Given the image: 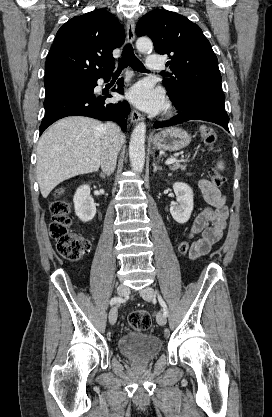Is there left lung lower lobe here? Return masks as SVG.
Returning <instances> with one entry per match:
<instances>
[{
    "label": "left lung lower lobe",
    "instance_id": "0a47b994",
    "mask_svg": "<svg viewBox=\"0 0 272 417\" xmlns=\"http://www.w3.org/2000/svg\"><path fill=\"white\" fill-rule=\"evenodd\" d=\"M170 100L172 99L170 98ZM172 102L173 105L181 112L171 120L155 122L153 126L156 129L176 125L189 120H204L221 125L227 131H229V117L225 109L201 101L190 95L183 96L180 101L172 100Z\"/></svg>",
    "mask_w": 272,
    "mask_h": 417
}]
</instances>
